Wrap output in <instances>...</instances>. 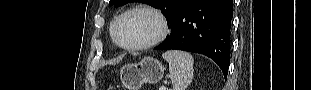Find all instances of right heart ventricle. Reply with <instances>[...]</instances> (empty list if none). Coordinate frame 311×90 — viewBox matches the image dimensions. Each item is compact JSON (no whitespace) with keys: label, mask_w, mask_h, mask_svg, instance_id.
<instances>
[{"label":"right heart ventricle","mask_w":311,"mask_h":90,"mask_svg":"<svg viewBox=\"0 0 311 90\" xmlns=\"http://www.w3.org/2000/svg\"><path fill=\"white\" fill-rule=\"evenodd\" d=\"M115 21H116V20H115ZM115 21L112 23L111 28H110L111 36H112V30H113V25H114Z\"/></svg>","instance_id":"right-heart-ventricle-1"}]
</instances>
